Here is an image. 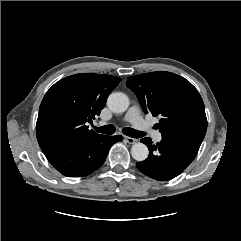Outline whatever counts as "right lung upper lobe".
<instances>
[{
  "label": "right lung upper lobe",
  "instance_id": "right-lung-upper-lobe-1",
  "mask_svg": "<svg viewBox=\"0 0 241 241\" xmlns=\"http://www.w3.org/2000/svg\"><path fill=\"white\" fill-rule=\"evenodd\" d=\"M120 81L115 76L81 73L55 83L41 102L36 123L42 151L100 135L89 130L86 123L100 114Z\"/></svg>",
  "mask_w": 241,
  "mask_h": 241
}]
</instances>
